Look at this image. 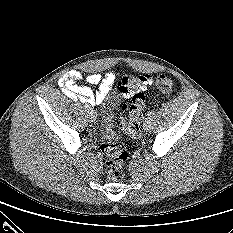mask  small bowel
<instances>
[{
  "label": "small bowel",
  "mask_w": 233,
  "mask_h": 233,
  "mask_svg": "<svg viewBox=\"0 0 233 233\" xmlns=\"http://www.w3.org/2000/svg\"><path fill=\"white\" fill-rule=\"evenodd\" d=\"M83 78L80 71L72 69L62 75L58 84L62 89V92L70 99L74 101H81L89 105H95L102 103L111 88L115 84V74L112 71L107 72L104 76L99 73H91L86 77V81L90 85L98 87V90L94 91L92 88L80 85L78 82ZM142 80V88L151 84V78L149 75H143L139 77ZM134 78L124 77L118 82L120 92L129 98L132 92L129 89V85Z\"/></svg>",
  "instance_id": "1"
}]
</instances>
